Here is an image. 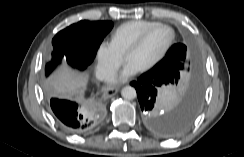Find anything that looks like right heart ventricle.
<instances>
[{
	"label": "right heart ventricle",
	"instance_id": "obj_1",
	"mask_svg": "<svg viewBox=\"0 0 244 157\" xmlns=\"http://www.w3.org/2000/svg\"><path fill=\"white\" fill-rule=\"evenodd\" d=\"M150 20H130L119 25L111 35V42L123 55L127 47L147 28L157 24Z\"/></svg>",
	"mask_w": 244,
	"mask_h": 157
}]
</instances>
